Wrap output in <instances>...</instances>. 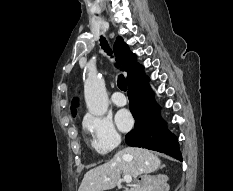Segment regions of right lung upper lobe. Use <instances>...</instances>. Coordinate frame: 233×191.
Instances as JSON below:
<instances>
[{
    "mask_svg": "<svg viewBox=\"0 0 233 191\" xmlns=\"http://www.w3.org/2000/svg\"><path fill=\"white\" fill-rule=\"evenodd\" d=\"M113 50L117 57V66H121V70L126 71L128 73L127 79L131 76L135 68L138 66L136 55L133 54L128 45L123 41L121 37H118ZM75 106H78V102L76 99H73V106L71 107V111L73 115L76 114Z\"/></svg>",
    "mask_w": 233,
    "mask_h": 191,
    "instance_id": "cb5924a9",
    "label": "right lung upper lobe"
}]
</instances>
